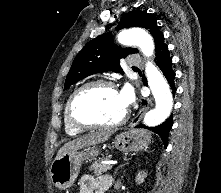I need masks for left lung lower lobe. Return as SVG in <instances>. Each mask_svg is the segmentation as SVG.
Listing matches in <instances>:
<instances>
[{"label": "left lung lower lobe", "instance_id": "0a47b994", "mask_svg": "<svg viewBox=\"0 0 221 193\" xmlns=\"http://www.w3.org/2000/svg\"><path fill=\"white\" fill-rule=\"evenodd\" d=\"M155 51H156L155 63L159 66L165 78L167 79L170 88L172 89V93L175 94L176 92L174 84L175 72L172 69V58L169 56L168 46L163 41L156 48ZM142 104H146L145 100H142ZM172 124H173V117L171 115L168 119H166L162 124L158 126L150 128L143 124H138L136 128H146L157 133L161 137L166 148L168 144V134L172 127Z\"/></svg>", "mask_w": 221, "mask_h": 193}]
</instances>
